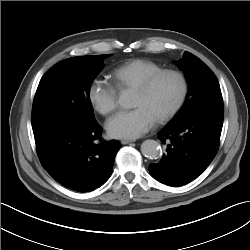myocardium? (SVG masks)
I'll list each match as a JSON object with an SVG mask.
<instances>
[{"mask_svg": "<svg viewBox=\"0 0 250 250\" xmlns=\"http://www.w3.org/2000/svg\"><path fill=\"white\" fill-rule=\"evenodd\" d=\"M163 76H173L178 79L180 83V92L179 95L174 102V104L165 112L163 113L158 119H156L157 123H165L174 117L178 111L183 106L187 94H188V81L186 76L175 69H161L148 77H146L134 90L141 94H146L153 84Z\"/></svg>", "mask_w": 250, "mask_h": 250, "instance_id": "obj_1", "label": "myocardium"}]
</instances>
